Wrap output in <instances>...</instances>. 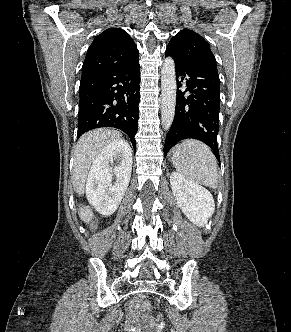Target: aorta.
Masks as SVG:
<instances>
[{"label":"aorta","mask_w":291,"mask_h":332,"mask_svg":"<svg viewBox=\"0 0 291 332\" xmlns=\"http://www.w3.org/2000/svg\"><path fill=\"white\" fill-rule=\"evenodd\" d=\"M176 72L172 57L164 60L161 70L162 127L168 131L173 123L176 107Z\"/></svg>","instance_id":"762f6f07"}]
</instances>
